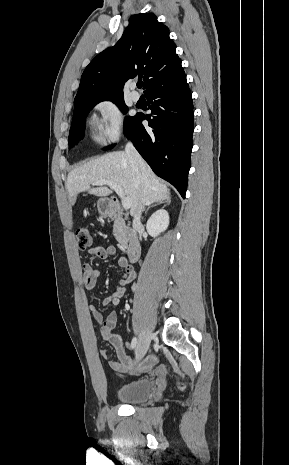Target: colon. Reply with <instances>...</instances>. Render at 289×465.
I'll return each instance as SVG.
<instances>
[{
    "label": "colon",
    "mask_w": 289,
    "mask_h": 465,
    "mask_svg": "<svg viewBox=\"0 0 289 465\" xmlns=\"http://www.w3.org/2000/svg\"><path fill=\"white\" fill-rule=\"evenodd\" d=\"M77 245L80 250H91L94 248L95 242L88 227H79L76 230Z\"/></svg>",
    "instance_id": "obj_1"
}]
</instances>
